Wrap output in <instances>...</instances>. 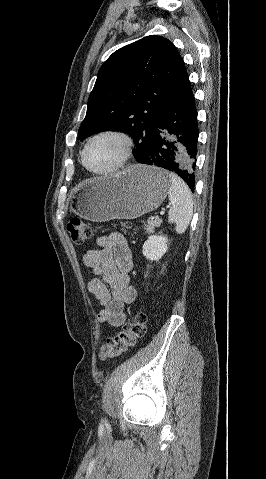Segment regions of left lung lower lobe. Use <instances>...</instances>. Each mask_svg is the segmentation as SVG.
<instances>
[{
  "label": "left lung lower lobe",
  "mask_w": 266,
  "mask_h": 479,
  "mask_svg": "<svg viewBox=\"0 0 266 479\" xmlns=\"http://www.w3.org/2000/svg\"><path fill=\"white\" fill-rule=\"evenodd\" d=\"M197 143V111L187 75L163 108L141 163L176 173L194 192Z\"/></svg>",
  "instance_id": "left-lung-lower-lobe-1"
}]
</instances>
